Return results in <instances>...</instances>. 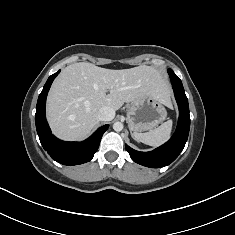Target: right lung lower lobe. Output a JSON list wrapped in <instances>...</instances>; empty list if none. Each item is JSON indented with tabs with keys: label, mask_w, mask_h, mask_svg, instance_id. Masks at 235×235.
Masks as SVG:
<instances>
[{
	"label": "right lung lower lobe",
	"mask_w": 235,
	"mask_h": 235,
	"mask_svg": "<svg viewBox=\"0 0 235 235\" xmlns=\"http://www.w3.org/2000/svg\"><path fill=\"white\" fill-rule=\"evenodd\" d=\"M60 70L51 75L39 95L35 123L40 142L53 160L63 165H79L90 161L97 151L100 140L109 125L98 128L83 142H64L52 135L45 117L46 97L50 86Z\"/></svg>",
	"instance_id": "98d812e1"
}]
</instances>
